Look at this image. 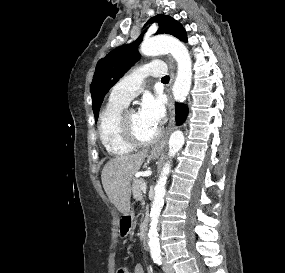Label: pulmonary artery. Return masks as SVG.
Here are the masks:
<instances>
[{"label":"pulmonary artery","instance_id":"pulmonary-artery-1","mask_svg":"<svg viewBox=\"0 0 285 273\" xmlns=\"http://www.w3.org/2000/svg\"><path fill=\"white\" fill-rule=\"evenodd\" d=\"M167 72L164 62L151 61L135 69L133 73L121 79L112 89L110 101L127 104L141 89L147 76L163 77Z\"/></svg>","mask_w":285,"mask_h":273}]
</instances>
